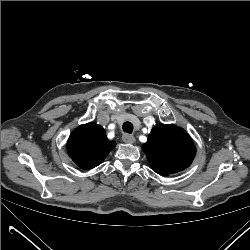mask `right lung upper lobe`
I'll return each instance as SVG.
<instances>
[{"instance_id":"right-lung-upper-lobe-1","label":"right lung upper lobe","mask_w":250,"mask_h":250,"mask_svg":"<svg viewBox=\"0 0 250 250\" xmlns=\"http://www.w3.org/2000/svg\"><path fill=\"white\" fill-rule=\"evenodd\" d=\"M116 146L106 137L105 130L98 124L87 123L77 127L67 142L70 158L82 169H92L105 159Z\"/></svg>"}]
</instances>
